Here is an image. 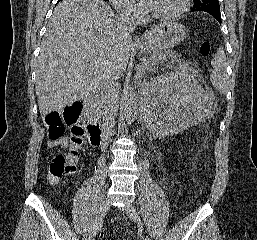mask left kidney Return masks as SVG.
I'll use <instances>...</instances> for the list:
<instances>
[{
  "instance_id": "5707ae66",
  "label": "left kidney",
  "mask_w": 257,
  "mask_h": 240,
  "mask_svg": "<svg viewBox=\"0 0 257 240\" xmlns=\"http://www.w3.org/2000/svg\"><path fill=\"white\" fill-rule=\"evenodd\" d=\"M207 101L204 90L186 73L155 78L144 92L147 124L160 136L183 132L206 117Z\"/></svg>"
}]
</instances>
